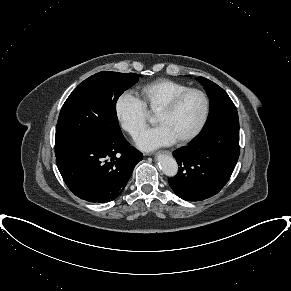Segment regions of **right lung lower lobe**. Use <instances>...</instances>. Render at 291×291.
<instances>
[{"instance_id": "obj_1", "label": "right lung lower lobe", "mask_w": 291, "mask_h": 291, "mask_svg": "<svg viewBox=\"0 0 291 291\" xmlns=\"http://www.w3.org/2000/svg\"><path fill=\"white\" fill-rule=\"evenodd\" d=\"M142 158L121 134L106 141L77 144L57 156L56 164L76 196L89 202H107L122 193Z\"/></svg>"}]
</instances>
